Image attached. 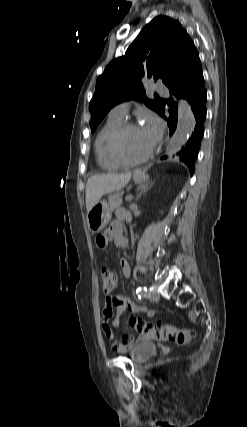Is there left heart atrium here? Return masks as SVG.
Wrapping results in <instances>:
<instances>
[{
    "label": "left heart atrium",
    "mask_w": 247,
    "mask_h": 427,
    "mask_svg": "<svg viewBox=\"0 0 247 427\" xmlns=\"http://www.w3.org/2000/svg\"><path fill=\"white\" fill-rule=\"evenodd\" d=\"M141 130L146 135L152 146L159 140L163 132V124L154 115H148Z\"/></svg>",
    "instance_id": "1"
}]
</instances>
